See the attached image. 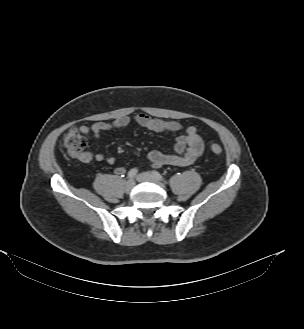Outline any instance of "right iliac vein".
I'll use <instances>...</instances> for the list:
<instances>
[{"instance_id":"obj_1","label":"right iliac vein","mask_w":304,"mask_h":329,"mask_svg":"<svg viewBox=\"0 0 304 329\" xmlns=\"http://www.w3.org/2000/svg\"><path fill=\"white\" fill-rule=\"evenodd\" d=\"M134 185H135V182L132 179L125 182V184H124L125 192L129 193L133 189Z\"/></svg>"}]
</instances>
